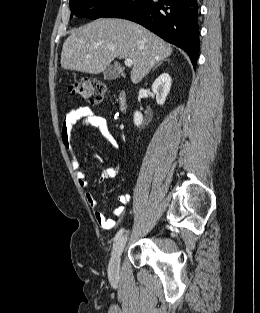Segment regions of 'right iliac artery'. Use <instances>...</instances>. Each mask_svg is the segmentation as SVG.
Listing matches in <instances>:
<instances>
[{
    "mask_svg": "<svg viewBox=\"0 0 260 313\" xmlns=\"http://www.w3.org/2000/svg\"><path fill=\"white\" fill-rule=\"evenodd\" d=\"M123 232H124V228H121V229L117 232V234H116V236H115V238H114V241H117V240L121 237V235L123 234Z\"/></svg>",
    "mask_w": 260,
    "mask_h": 313,
    "instance_id": "82829eb1",
    "label": "right iliac artery"
}]
</instances>
